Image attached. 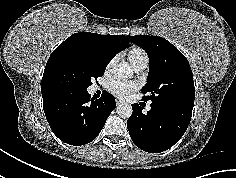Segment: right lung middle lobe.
I'll return each instance as SVG.
<instances>
[{"instance_id":"dd1d6c3e","label":"right lung middle lobe","mask_w":236,"mask_h":178,"mask_svg":"<svg viewBox=\"0 0 236 178\" xmlns=\"http://www.w3.org/2000/svg\"><path fill=\"white\" fill-rule=\"evenodd\" d=\"M110 61L94 54L76 52L63 56L44 81L47 95L78 94L87 91L92 82L104 74Z\"/></svg>"}]
</instances>
